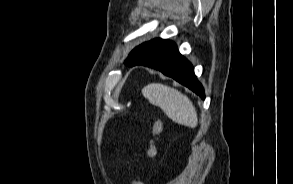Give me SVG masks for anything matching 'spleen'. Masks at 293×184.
<instances>
[{"instance_id":"1","label":"spleen","mask_w":293,"mask_h":184,"mask_svg":"<svg viewBox=\"0 0 293 184\" xmlns=\"http://www.w3.org/2000/svg\"><path fill=\"white\" fill-rule=\"evenodd\" d=\"M142 94L175 123L191 128L197 126V111L192 101L177 89L161 83H151L142 89Z\"/></svg>"}]
</instances>
